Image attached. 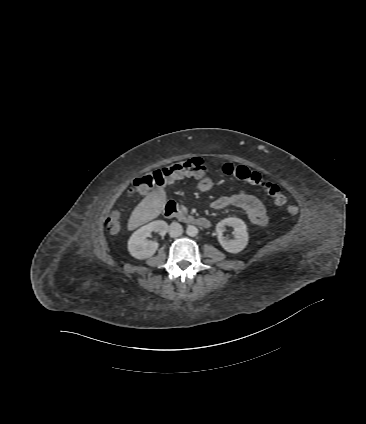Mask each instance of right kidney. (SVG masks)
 I'll return each instance as SVG.
<instances>
[{
	"label": "right kidney",
	"mask_w": 366,
	"mask_h": 424,
	"mask_svg": "<svg viewBox=\"0 0 366 424\" xmlns=\"http://www.w3.org/2000/svg\"><path fill=\"white\" fill-rule=\"evenodd\" d=\"M168 224L162 220H156L136 230L128 240V251L136 259H147L153 256L158 249V243L146 239L152 232L164 236L168 231Z\"/></svg>",
	"instance_id": "right-kidney-1"
}]
</instances>
